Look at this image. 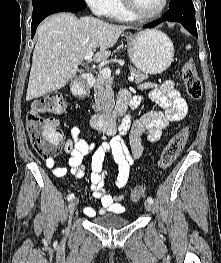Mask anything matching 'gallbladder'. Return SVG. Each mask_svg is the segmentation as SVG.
I'll use <instances>...</instances> for the list:
<instances>
[{
    "instance_id": "obj_1",
    "label": "gallbladder",
    "mask_w": 221,
    "mask_h": 263,
    "mask_svg": "<svg viewBox=\"0 0 221 263\" xmlns=\"http://www.w3.org/2000/svg\"><path fill=\"white\" fill-rule=\"evenodd\" d=\"M78 73H81V70H78Z\"/></svg>"
}]
</instances>
